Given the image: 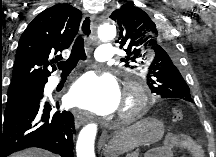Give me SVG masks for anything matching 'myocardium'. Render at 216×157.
Returning a JSON list of instances; mask_svg holds the SVG:
<instances>
[{
	"label": "myocardium",
	"mask_w": 216,
	"mask_h": 157,
	"mask_svg": "<svg viewBox=\"0 0 216 157\" xmlns=\"http://www.w3.org/2000/svg\"><path fill=\"white\" fill-rule=\"evenodd\" d=\"M147 95L141 85H131L126 89L120 118L130 122L137 118L147 106Z\"/></svg>",
	"instance_id": "myocardium-1"
}]
</instances>
